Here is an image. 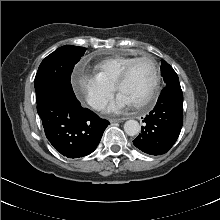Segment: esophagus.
Listing matches in <instances>:
<instances>
[{"mask_svg": "<svg viewBox=\"0 0 220 220\" xmlns=\"http://www.w3.org/2000/svg\"><path fill=\"white\" fill-rule=\"evenodd\" d=\"M124 120H126V118H111L109 121L111 124H113L117 122H123Z\"/></svg>", "mask_w": 220, "mask_h": 220, "instance_id": "34e87169", "label": "esophagus"}]
</instances>
